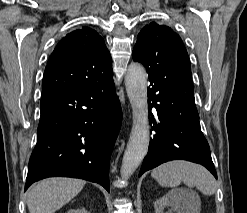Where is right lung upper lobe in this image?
Wrapping results in <instances>:
<instances>
[{"instance_id":"cb5924a9","label":"right lung upper lobe","mask_w":247,"mask_h":213,"mask_svg":"<svg viewBox=\"0 0 247 213\" xmlns=\"http://www.w3.org/2000/svg\"><path fill=\"white\" fill-rule=\"evenodd\" d=\"M112 75V59L103 38L95 30L83 27L67 34L49 57L42 98Z\"/></svg>"}]
</instances>
